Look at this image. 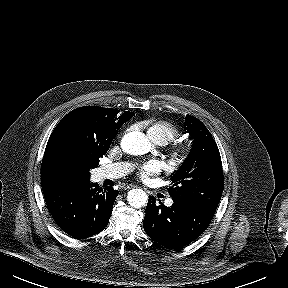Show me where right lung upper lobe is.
<instances>
[{
  "mask_svg": "<svg viewBox=\"0 0 288 288\" xmlns=\"http://www.w3.org/2000/svg\"><path fill=\"white\" fill-rule=\"evenodd\" d=\"M133 115L132 112L125 111L119 114L116 109L98 106L77 108L68 113L55 127L48 140L44 157L63 142H67V145L81 153L88 152L95 145L103 144L106 139L115 137L120 127ZM41 184L43 191L72 186L69 180L52 177L42 168Z\"/></svg>",
  "mask_w": 288,
  "mask_h": 288,
  "instance_id": "obj_1",
  "label": "right lung upper lobe"
}]
</instances>
